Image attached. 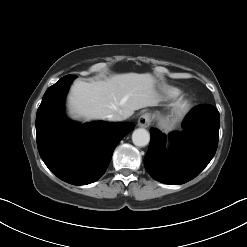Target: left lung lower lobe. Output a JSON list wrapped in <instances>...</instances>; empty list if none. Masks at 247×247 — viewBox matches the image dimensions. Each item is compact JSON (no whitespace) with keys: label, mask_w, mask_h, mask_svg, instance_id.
<instances>
[{"label":"left lung lower lobe","mask_w":247,"mask_h":247,"mask_svg":"<svg viewBox=\"0 0 247 247\" xmlns=\"http://www.w3.org/2000/svg\"><path fill=\"white\" fill-rule=\"evenodd\" d=\"M181 134L171 133L172 149L162 150L166 136L152 128L144 158L146 171L165 184H183L195 178L211 161L217 150L220 117L208 104L192 109L185 117Z\"/></svg>","instance_id":"obj_1"}]
</instances>
